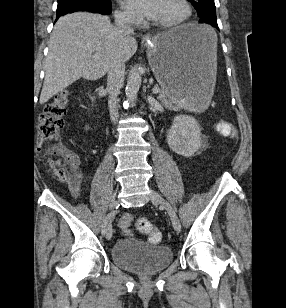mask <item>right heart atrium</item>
Wrapping results in <instances>:
<instances>
[{
	"label": "right heart atrium",
	"instance_id": "right-heart-atrium-1",
	"mask_svg": "<svg viewBox=\"0 0 286 308\" xmlns=\"http://www.w3.org/2000/svg\"><path fill=\"white\" fill-rule=\"evenodd\" d=\"M116 20L120 23H125V24H138L139 20L131 15L129 12L125 10H118L115 13Z\"/></svg>",
	"mask_w": 286,
	"mask_h": 308
}]
</instances>
